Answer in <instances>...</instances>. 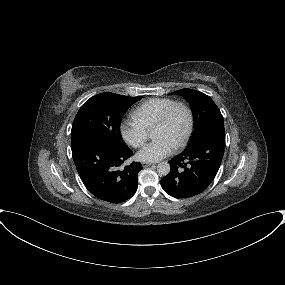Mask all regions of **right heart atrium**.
I'll return each mask as SVG.
<instances>
[{
	"instance_id": "obj_1",
	"label": "right heart atrium",
	"mask_w": 285,
	"mask_h": 285,
	"mask_svg": "<svg viewBox=\"0 0 285 285\" xmlns=\"http://www.w3.org/2000/svg\"><path fill=\"white\" fill-rule=\"evenodd\" d=\"M120 133L124 141L135 148L142 146L149 135L147 127L134 114H129L122 119Z\"/></svg>"
}]
</instances>
